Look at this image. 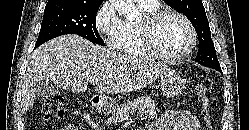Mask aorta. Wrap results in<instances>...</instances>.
Segmentation results:
<instances>
[{
    "label": "aorta",
    "mask_w": 249,
    "mask_h": 130,
    "mask_svg": "<svg viewBox=\"0 0 249 130\" xmlns=\"http://www.w3.org/2000/svg\"><path fill=\"white\" fill-rule=\"evenodd\" d=\"M119 15H123L127 20H135L140 16L139 10L131 0H111Z\"/></svg>",
    "instance_id": "1"
}]
</instances>
